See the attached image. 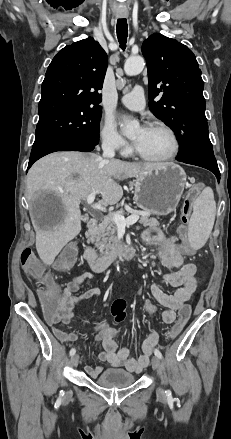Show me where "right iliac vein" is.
<instances>
[{
  "label": "right iliac vein",
  "mask_w": 231,
  "mask_h": 439,
  "mask_svg": "<svg viewBox=\"0 0 231 439\" xmlns=\"http://www.w3.org/2000/svg\"><path fill=\"white\" fill-rule=\"evenodd\" d=\"M78 361H79V356L77 355V354H75V355H73L72 357H71V366L72 367H77V365H78Z\"/></svg>",
  "instance_id": "obj_1"
}]
</instances>
